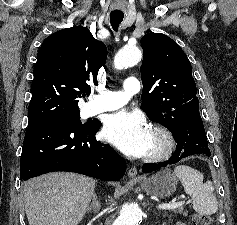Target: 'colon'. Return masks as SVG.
Returning a JSON list of instances; mask_svg holds the SVG:
<instances>
[{"mask_svg": "<svg viewBox=\"0 0 237 225\" xmlns=\"http://www.w3.org/2000/svg\"><path fill=\"white\" fill-rule=\"evenodd\" d=\"M192 225H217L208 215L196 214L192 216Z\"/></svg>", "mask_w": 237, "mask_h": 225, "instance_id": "1", "label": "colon"}]
</instances>
